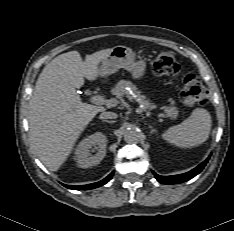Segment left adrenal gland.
<instances>
[{
	"instance_id": "a2214340",
	"label": "left adrenal gland",
	"mask_w": 234,
	"mask_h": 231,
	"mask_svg": "<svg viewBox=\"0 0 234 231\" xmlns=\"http://www.w3.org/2000/svg\"><path fill=\"white\" fill-rule=\"evenodd\" d=\"M149 128L151 129L150 131L151 134L156 133V129H154L153 126L149 125Z\"/></svg>"
}]
</instances>
